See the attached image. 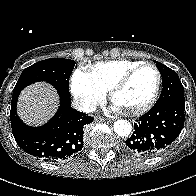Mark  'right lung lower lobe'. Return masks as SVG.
<instances>
[{"label":"right lung lower lobe","mask_w":196,"mask_h":196,"mask_svg":"<svg viewBox=\"0 0 196 196\" xmlns=\"http://www.w3.org/2000/svg\"><path fill=\"white\" fill-rule=\"evenodd\" d=\"M60 106L55 116L40 127L26 125L17 115L20 92L13 94L10 120L13 136L21 149L47 162H59L78 155L83 147V131L93 118L71 107L69 95L59 92Z\"/></svg>","instance_id":"98d812e1"}]
</instances>
